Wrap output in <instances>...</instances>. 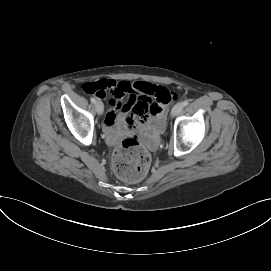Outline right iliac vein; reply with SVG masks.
<instances>
[{
    "label": "right iliac vein",
    "mask_w": 271,
    "mask_h": 271,
    "mask_svg": "<svg viewBox=\"0 0 271 271\" xmlns=\"http://www.w3.org/2000/svg\"><path fill=\"white\" fill-rule=\"evenodd\" d=\"M95 108H96V111L99 115H101L104 111V105L101 101H97L95 103Z\"/></svg>",
    "instance_id": "obj_1"
}]
</instances>
